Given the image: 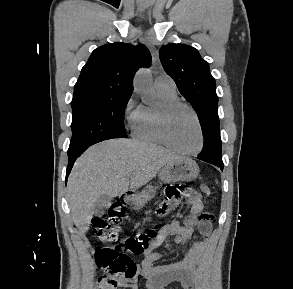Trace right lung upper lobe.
Instances as JSON below:
<instances>
[{"mask_svg":"<svg viewBox=\"0 0 293 289\" xmlns=\"http://www.w3.org/2000/svg\"><path fill=\"white\" fill-rule=\"evenodd\" d=\"M150 62V52L144 45H103L92 52L82 68L72 101L131 96L135 72L141 66H150Z\"/></svg>","mask_w":293,"mask_h":289,"instance_id":"1","label":"right lung upper lobe"}]
</instances>
